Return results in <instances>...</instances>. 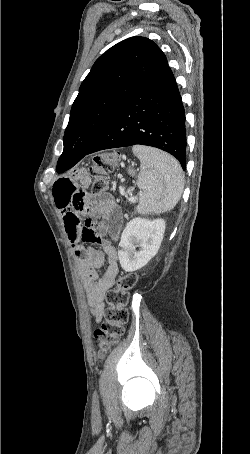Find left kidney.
<instances>
[{"label":"left kidney","mask_w":250,"mask_h":454,"mask_svg":"<svg viewBox=\"0 0 250 454\" xmlns=\"http://www.w3.org/2000/svg\"><path fill=\"white\" fill-rule=\"evenodd\" d=\"M165 232V220L137 217L126 224L119 243L118 257L126 272L145 266L158 252ZM136 247H140L136 251Z\"/></svg>","instance_id":"1"}]
</instances>
